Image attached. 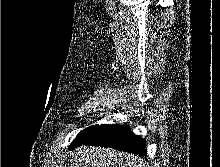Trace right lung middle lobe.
<instances>
[{"instance_id":"obj_1","label":"right lung middle lobe","mask_w":220,"mask_h":167,"mask_svg":"<svg viewBox=\"0 0 220 167\" xmlns=\"http://www.w3.org/2000/svg\"><path fill=\"white\" fill-rule=\"evenodd\" d=\"M98 127V125L90 126L83 131H81L77 137L73 140L72 144L69 147V150H73L76 147L80 146Z\"/></svg>"}]
</instances>
